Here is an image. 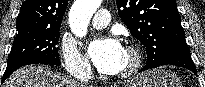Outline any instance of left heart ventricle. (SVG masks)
Instances as JSON below:
<instances>
[{"label": "left heart ventricle", "instance_id": "left-heart-ventricle-1", "mask_svg": "<svg viewBox=\"0 0 205 87\" xmlns=\"http://www.w3.org/2000/svg\"><path fill=\"white\" fill-rule=\"evenodd\" d=\"M130 60H131V57H130L129 53L126 50H124L122 58H121L119 70L126 68L128 66V64L130 63Z\"/></svg>", "mask_w": 205, "mask_h": 87}]
</instances>
